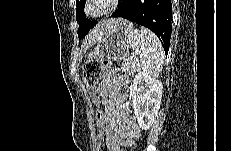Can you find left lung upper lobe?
<instances>
[{"label":"left lung upper lobe","instance_id":"left-lung-upper-lobe-1","mask_svg":"<svg viewBox=\"0 0 231 151\" xmlns=\"http://www.w3.org/2000/svg\"><path fill=\"white\" fill-rule=\"evenodd\" d=\"M132 0H120L119 6L129 5ZM77 9H76V20L79 24L78 28V37L82 38L85 36L91 28L96 25V21L86 20L83 8L85 6V0H76Z\"/></svg>","mask_w":231,"mask_h":151}]
</instances>
